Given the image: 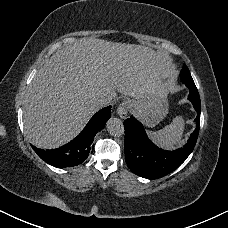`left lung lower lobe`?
Listing matches in <instances>:
<instances>
[{
    "label": "left lung lower lobe",
    "mask_w": 228,
    "mask_h": 228,
    "mask_svg": "<svg viewBox=\"0 0 228 228\" xmlns=\"http://www.w3.org/2000/svg\"><path fill=\"white\" fill-rule=\"evenodd\" d=\"M183 83L189 88L188 99L197 112V127L183 148L174 151L158 148L149 140L143 125L134 117L124 121L125 161L136 175L147 179L164 177L178 168L194 149L199 134L201 103L192 77H186Z\"/></svg>",
    "instance_id": "1"
}]
</instances>
